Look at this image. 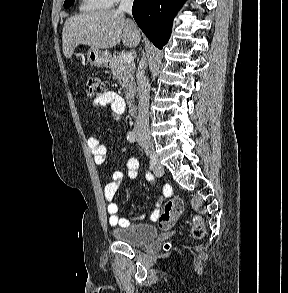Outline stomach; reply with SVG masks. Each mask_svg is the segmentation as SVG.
<instances>
[{"mask_svg": "<svg viewBox=\"0 0 288 293\" xmlns=\"http://www.w3.org/2000/svg\"><path fill=\"white\" fill-rule=\"evenodd\" d=\"M87 61L97 67H109L111 56L108 52L91 47L87 52Z\"/></svg>", "mask_w": 288, "mask_h": 293, "instance_id": "0dacf381", "label": "stomach"}]
</instances>
